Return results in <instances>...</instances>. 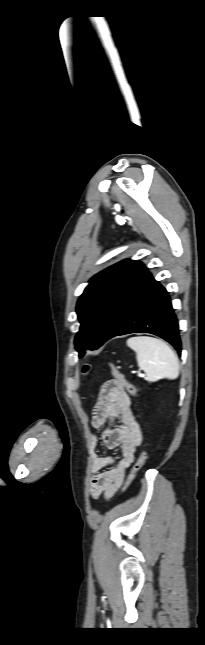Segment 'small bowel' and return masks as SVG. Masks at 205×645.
I'll use <instances>...</instances> for the list:
<instances>
[{"label": "small bowel", "instance_id": "small-bowel-1", "mask_svg": "<svg viewBox=\"0 0 205 645\" xmlns=\"http://www.w3.org/2000/svg\"><path fill=\"white\" fill-rule=\"evenodd\" d=\"M118 422V424H116ZM108 428L101 434L103 446L108 450L121 448V457L101 456L96 452L98 437L91 433L88 446L91 457V494L94 498L103 496L109 500L123 483L126 471L136 457L137 448L143 436L137 422L130 398L123 390H111L106 382L93 410L92 425L99 429Z\"/></svg>", "mask_w": 205, "mask_h": 645}]
</instances>
